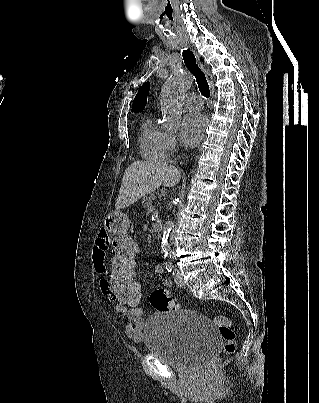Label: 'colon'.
Wrapping results in <instances>:
<instances>
[{
	"label": "colon",
	"instance_id": "colon-1",
	"mask_svg": "<svg viewBox=\"0 0 319 403\" xmlns=\"http://www.w3.org/2000/svg\"><path fill=\"white\" fill-rule=\"evenodd\" d=\"M115 252L111 253L109 272L113 273V300L116 304H124L125 313H144V304L140 291L143 283L134 278V268H139L138 253L140 241L137 234H113ZM151 306L158 312L174 311L177 309L176 301L169 297L165 290L155 289L149 296ZM220 334L224 340L222 355H231L236 348L235 333L228 325L219 326ZM219 358L210 361L203 373V381H210L211 375L219 367Z\"/></svg>",
	"mask_w": 319,
	"mask_h": 403
}]
</instances>
